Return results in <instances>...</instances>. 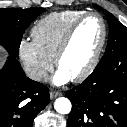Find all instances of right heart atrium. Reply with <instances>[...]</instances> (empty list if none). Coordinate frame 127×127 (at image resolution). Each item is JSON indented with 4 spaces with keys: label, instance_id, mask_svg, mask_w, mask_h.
I'll return each instance as SVG.
<instances>
[{
    "label": "right heart atrium",
    "instance_id": "1",
    "mask_svg": "<svg viewBox=\"0 0 127 127\" xmlns=\"http://www.w3.org/2000/svg\"><path fill=\"white\" fill-rule=\"evenodd\" d=\"M18 53L27 75L36 82H42L53 68V60L32 40L22 39L18 45Z\"/></svg>",
    "mask_w": 127,
    "mask_h": 127
}]
</instances>
